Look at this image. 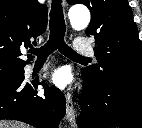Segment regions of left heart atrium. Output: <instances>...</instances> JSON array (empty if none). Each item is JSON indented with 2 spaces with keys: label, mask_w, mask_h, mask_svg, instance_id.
<instances>
[{
  "label": "left heart atrium",
  "mask_w": 142,
  "mask_h": 128,
  "mask_svg": "<svg viewBox=\"0 0 142 128\" xmlns=\"http://www.w3.org/2000/svg\"><path fill=\"white\" fill-rule=\"evenodd\" d=\"M68 73L65 69L63 68H60V69H57L53 74H52V82L60 87V88H63L66 86L67 82H68Z\"/></svg>",
  "instance_id": "obj_1"
}]
</instances>
